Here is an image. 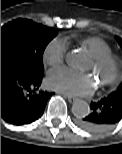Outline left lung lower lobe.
<instances>
[{"instance_id":"0a47b994","label":"left lung lower lobe","mask_w":122,"mask_h":154,"mask_svg":"<svg viewBox=\"0 0 122 154\" xmlns=\"http://www.w3.org/2000/svg\"><path fill=\"white\" fill-rule=\"evenodd\" d=\"M91 111L78 120V125L89 132H103L122 119V102L113 99L112 95L92 102Z\"/></svg>"}]
</instances>
